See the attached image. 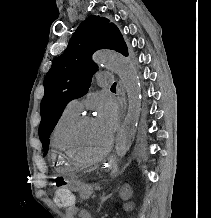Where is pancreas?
<instances>
[{
    "instance_id": "pancreas-1",
    "label": "pancreas",
    "mask_w": 211,
    "mask_h": 218,
    "mask_svg": "<svg viewBox=\"0 0 211 218\" xmlns=\"http://www.w3.org/2000/svg\"><path fill=\"white\" fill-rule=\"evenodd\" d=\"M98 187L97 184H93V186H89V184H87V186H82L79 192L80 198H82V200H88V198L92 196L93 190H100ZM92 198H94V196H92Z\"/></svg>"
}]
</instances>
